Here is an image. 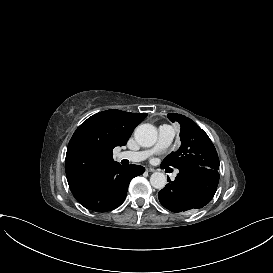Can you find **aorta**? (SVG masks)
<instances>
[{"instance_id": "762f6f07", "label": "aorta", "mask_w": 273, "mask_h": 273, "mask_svg": "<svg viewBox=\"0 0 273 273\" xmlns=\"http://www.w3.org/2000/svg\"><path fill=\"white\" fill-rule=\"evenodd\" d=\"M136 141L143 147L153 146L157 141V129L148 123L141 124L135 129L134 133ZM151 185L156 189H163L167 184L165 174L155 172L150 177Z\"/></svg>"}]
</instances>
